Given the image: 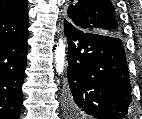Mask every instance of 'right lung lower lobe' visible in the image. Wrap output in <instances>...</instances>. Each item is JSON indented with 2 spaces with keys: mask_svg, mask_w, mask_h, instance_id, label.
Wrapping results in <instances>:
<instances>
[{
  "mask_svg": "<svg viewBox=\"0 0 142 119\" xmlns=\"http://www.w3.org/2000/svg\"><path fill=\"white\" fill-rule=\"evenodd\" d=\"M28 36L0 44V119H19Z\"/></svg>",
  "mask_w": 142,
  "mask_h": 119,
  "instance_id": "right-lung-lower-lobe-1",
  "label": "right lung lower lobe"
}]
</instances>
